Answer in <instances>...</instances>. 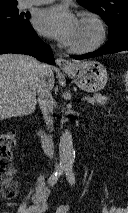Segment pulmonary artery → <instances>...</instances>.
<instances>
[{
	"instance_id": "pulmonary-artery-1",
	"label": "pulmonary artery",
	"mask_w": 128,
	"mask_h": 213,
	"mask_svg": "<svg viewBox=\"0 0 128 213\" xmlns=\"http://www.w3.org/2000/svg\"><path fill=\"white\" fill-rule=\"evenodd\" d=\"M54 0H23L22 6L23 7H30L34 5H42V4H48L53 2Z\"/></svg>"
}]
</instances>
